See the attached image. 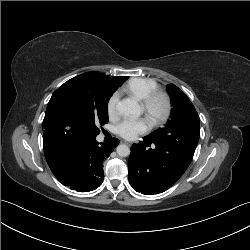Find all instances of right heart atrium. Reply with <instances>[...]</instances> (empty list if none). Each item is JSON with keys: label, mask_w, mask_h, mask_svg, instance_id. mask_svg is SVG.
<instances>
[{"label": "right heart atrium", "mask_w": 250, "mask_h": 250, "mask_svg": "<svg viewBox=\"0 0 250 250\" xmlns=\"http://www.w3.org/2000/svg\"><path fill=\"white\" fill-rule=\"evenodd\" d=\"M119 101V93L114 92L107 101V113L109 116L114 117L117 115V104Z\"/></svg>", "instance_id": "1"}]
</instances>
